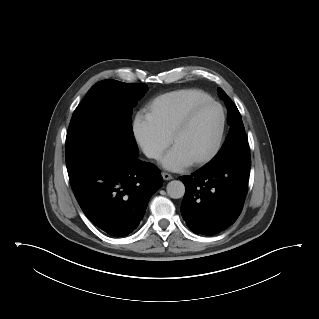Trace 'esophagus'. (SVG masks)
I'll return each instance as SVG.
<instances>
[{
  "label": "esophagus",
  "mask_w": 319,
  "mask_h": 319,
  "mask_svg": "<svg viewBox=\"0 0 319 319\" xmlns=\"http://www.w3.org/2000/svg\"><path fill=\"white\" fill-rule=\"evenodd\" d=\"M162 177L164 180H171L173 178L171 174L166 173V172L162 173Z\"/></svg>",
  "instance_id": "obj_1"
}]
</instances>
